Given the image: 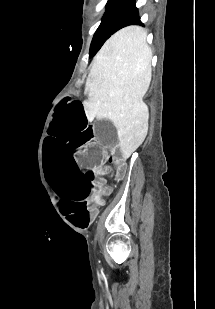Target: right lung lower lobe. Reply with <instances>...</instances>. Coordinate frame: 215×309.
<instances>
[{"mask_svg":"<svg viewBox=\"0 0 215 309\" xmlns=\"http://www.w3.org/2000/svg\"><path fill=\"white\" fill-rule=\"evenodd\" d=\"M129 25H143L140 21V17L138 16V10L135 7L134 2L121 18L119 29Z\"/></svg>","mask_w":215,"mask_h":309,"instance_id":"98d812e1","label":"right lung lower lobe"}]
</instances>
